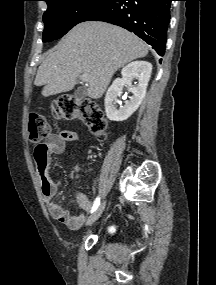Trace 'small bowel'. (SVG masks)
Listing matches in <instances>:
<instances>
[{"label":"small bowel","mask_w":216,"mask_h":285,"mask_svg":"<svg viewBox=\"0 0 216 285\" xmlns=\"http://www.w3.org/2000/svg\"><path fill=\"white\" fill-rule=\"evenodd\" d=\"M79 140L77 132L72 130H62L58 133H52L47 139L46 147L35 149V161L37 164L38 174L41 182V190L48 206L50 216L65 224L68 228L76 230L82 226L85 221V214L72 215L70 211L54 201L53 198L58 191V185L53 182L49 176L48 168L51 162V156L54 154H69L66 143L76 142ZM79 169L73 172V180L78 185ZM79 207L87 212L91 209L92 202L80 191L75 193Z\"/></svg>","instance_id":"1"}]
</instances>
